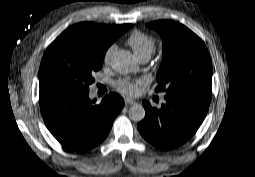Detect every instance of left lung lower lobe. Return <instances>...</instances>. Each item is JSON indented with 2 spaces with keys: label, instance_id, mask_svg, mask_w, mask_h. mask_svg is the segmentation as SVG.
Instances as JSON below:
<instances>
[{
  "label": "left lung lower lobe",
  "instance_id": "obj_1",
  "mask_svg": "<svg viewBox=\"0 0 255 177\" xmlns=\"http://www.w3.org/2000/svg\"><path fill=\"white\" fill-rule=\"evenodd\" d=\"M160 109L143 101L145 118L138 124L141 135L160 149H173L191 138L202 124L211 93L186 91L166 95Z\"/></svg>",
  "mask_w": 255,
  "mask_h": 177
}]
</instances>
